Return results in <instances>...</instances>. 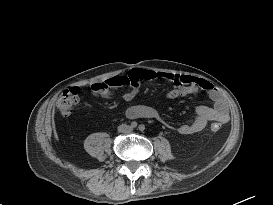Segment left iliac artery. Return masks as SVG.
Masks as SVG:
<instances>
[{"mask_svg":"<svg viewBox=\"0 0 273 205\" xmlns=\"http://www.w3.org/2000/svg\"><path fill=\"white\" fill-rule=\"evenodd\" d=\"M139 130L144 131L145 130V126L143 124L139 125Z\"/></svg>","mask_w":273,"mask_h":205,"instance_id":"1","label":"left iliac artery"}]
</instances>
